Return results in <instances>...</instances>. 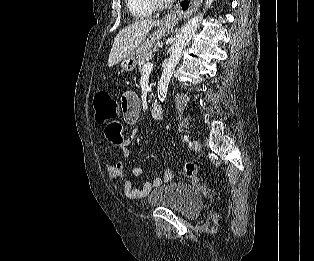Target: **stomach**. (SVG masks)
<instances>
[{
	"label": "stomach",
	"mask_w": 314,
	"mask_h": 261,
	"mask_svg": "<svg viewBox=\"0 0 314 261\" xmlns=\"http://www.w3.org/2000/svg\"><path fill=\"white\" fill-rule=\"evenodd\" d=\"M167 28L164 23H160L159 29L155 31L142 45L135 49L128 57H126L122 63L121 68L123 71L130 72L134 70L139 59L142 57L144 51L142 47L145 45L146 49L151 48L159 39L165 34Z\"/></svg>",
	"instance_id": "0dacf381"
}]
</instances>
